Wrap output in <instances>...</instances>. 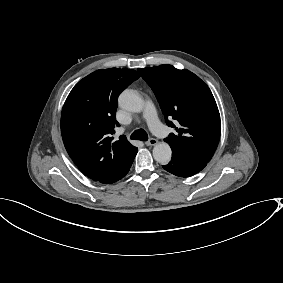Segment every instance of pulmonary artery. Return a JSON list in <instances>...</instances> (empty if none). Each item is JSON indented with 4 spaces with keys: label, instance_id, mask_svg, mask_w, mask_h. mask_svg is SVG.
Segmentation results:
<instances>
[{
    "label": "pulmonary artery",
    "instance_id": "obj_1",
    "mask_svg": "<svg viewBox=\"0 0 283 283\" xmlns=\"http://www.w3.org/2000/svg\"><path fill=\"white\" fill-rule=\"evenodd\" d=\"M144 106L146 107L145 114L148 116L146 118V123L151 126V130L155 134H159L162 138H167L170 135V130L157 122V118L154 116L156 114V109L151 106L149 101H145Z\"/></svg>",
    "mask_w": 283,
    "mask_h": 283
}]
</instances>
